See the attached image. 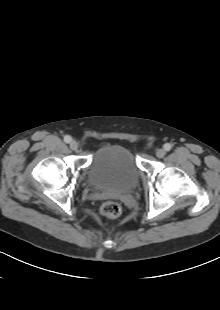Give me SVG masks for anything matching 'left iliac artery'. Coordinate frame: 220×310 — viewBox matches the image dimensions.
Wrapping results in <instances>:
<instances>
[{
  "label": "left iliac artery",
  "instance_id": "1",
  "mask_svg": "<svg viewBox=\"0 0 220 310\" xmlns=\"http://www.w3.org/2000/svg\"><path fill=\"white\" fill-rule=\"evenodd\" d=\"M171 148H172V145H171L170 143L164 144V149H165L166 151H170Z\"/></svg>",
  "mask_w": 220,
  "mask_h": 310
}]
</instances>
